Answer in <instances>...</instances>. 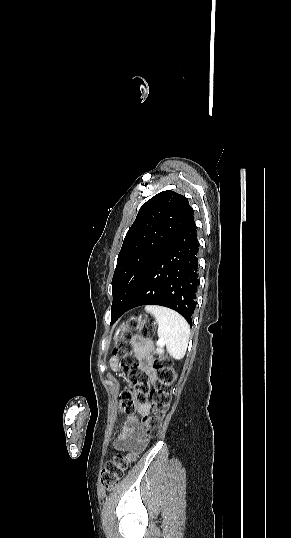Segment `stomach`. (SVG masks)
Wrapping results in <instances>:
<instances>
[{"label":"stomach","mask_w":291,"mask_h":538,"mask_svg":"<svg viewBox=\"0 0 291 538\" xmlns=\"http://www.w3.org/2000/svg\"><path fill=\"white\" fill-rule=\"evenodd\" d=\"M125 330H126V326H125V325L120 326V327L116 330L114 339H115V340H118V336H119L120 332H121V331H125Z\"/></svg>","instance_id":"stomach-1"}]
</instances>
